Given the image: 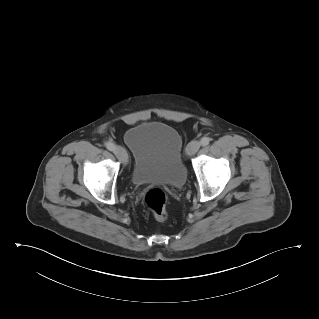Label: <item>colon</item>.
Here are the masks:
<instances>
[{"instance_id": "5ec220e1", "label": "colon", "mask_w": 319, "mask_h": 319, "mask_svg": "<svg viewBox=\"0 0 319 319\" xmlns=\"http://www.w3.org/2000/svg\"><path fill=\"white\" fill-rule=\"evenodd\" d=\"M145 204L157 220L165 221L167 219V196L163 190L150 189L145 195Z\"/></svg>"}]
</instances>
